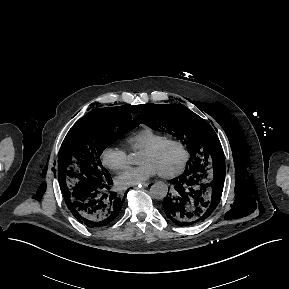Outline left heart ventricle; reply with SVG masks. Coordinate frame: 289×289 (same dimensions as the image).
Segmentation results:
<instances>
[{"instance_id": "b2bd125f", "label": "left heart ventricle", "mask_w": 289, "mask_h": 289, "mask_svg": "<svg viewBox=\"0 0 289 289\" xmlns=\"http://www.w3.org/2000/svg\"><path fill=\"white\" fill-rule=\"evenodd\" d=\"M183 153L179 146L169 144L157 153L141 152L140 164H152L159 173H165L176 169L182 161Z\"/></svg>"}]
</instances>
